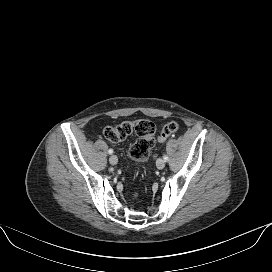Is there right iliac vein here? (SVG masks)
<instances>
[{
	"label": "right iliac vein",
	"mask_w": 272,
	"mask_h": 272,
	"mask_svg": "<svg viewBox=\"0 0 272 272\" xmlns=\"http://www.w3.org/2000/svg\"><path fill=\"white\" fill-rule=\"evenodd\" d=\"M109 162L110 164L112 165H116L118 163V158L116 155H111L110 158H109Z\"/></svg>",
	"instance_id": "1"
}]
</instances>
